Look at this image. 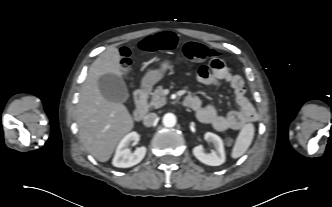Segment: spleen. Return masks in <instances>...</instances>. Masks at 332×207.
Listing matches in <instances>:
<instances>
[{
	"mask_svg": "<svg viewBox=\"0 0 332 207\" xmlns=\"http://www.w3.org/2000/svg\"><path fill=\"white\" fill-rule=\"evenodd\" d=\"M255 128L251 123L246 124L240 131L235 145L232 150V158L236 159L242 156L247 149L250 147L253 137H254Z\"/></svg>",
	"mask_w": 332,
	"mask_h": 207,
	"instance_id": "3e777b00",
	"label": "spleen"
}]
</instances>
